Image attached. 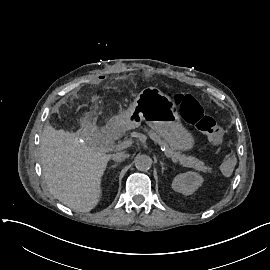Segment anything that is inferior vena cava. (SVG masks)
Instances as JSON below:
<instances>
[{
    "label": "inferior vena cava",
    "instance_id": "obj_1",
    "mask_svg": "<svg viewBox=\"0 0 270 270\" xmlns=\"http://www.w3.org/2000/svg\"><path fill=\"white\" fill-rule=\"evenodd\" d=\"M129 157V154L125 153V152H119L116 154L112 155V159L116 162H121L123 160H125L126 158Z\"/></svg>",
    "mask_w": 270,
    "mask_h": 270
}]
</instances>
